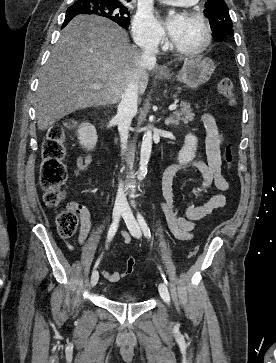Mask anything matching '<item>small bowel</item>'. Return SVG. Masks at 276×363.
<instances>
[{
    "mask_svg": "<svg viewBox=\"0 0 276 363\" xmlns=\"http://www.w3.org/2000/svg\"><path fill=\"white\" fill-rule=\"evenodd\" d=\"M201 123L206 130V154L207 161L194 160L189 167L195 168L201 174L199 184L191 191L190 197H196L204 192L209 186L214 184L222 192L229 189V182L221 173V147L224 142V136L218 128L216 121L210 113H204L201 116ZM93 158L90 154L78 156L76 160V169L74 175L78 176L86 170ZM181 169L180 165L168 166L162 176V192L164 199L161 201V209L165 215L168 228L172 235L180 241H190L194 238V230L197 223L211 214L214 210L223 207L226 204V197L219 193L210 198L204 204L193 205L188 202L180 214L177 210L173 192V181L176 173ZM70 208L75 210L80 217L81 229L78 235L79 243H83L91 231V215L88 208L80 203H71ZM124 243L129 244L131 238L127 233H123ZM101 275L110 282H118L122 276L119 272H109L101 270Z\"/></svg>",
    "mask_w": 276,
    "mask_h": 363,
    "instance_id": "c3829d8e",
    "label": "small bowel"
}]
</instances>
